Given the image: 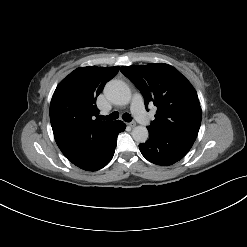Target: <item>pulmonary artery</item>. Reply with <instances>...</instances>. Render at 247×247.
<instances>
[{
	"mask_svg": "<svg viewBox=\"0 0 247 247\" xmlns=\"http://www.w3.org/2000/svg\"><path fill=\"white\" fill-rule=\"evenodd\" d=\"M132 112L139 123L147 126L151 122L150 115L144 109L143 97L140 94H135L131 105Z\"/></svg>",
	"mask_w": 247,
	"mask_h": 247,
	"instance_id": "obj_1",
	"label": "pulmonary artery"
}]
</instances>
